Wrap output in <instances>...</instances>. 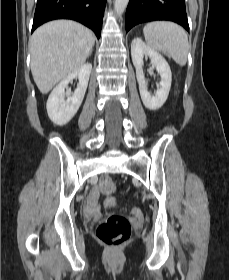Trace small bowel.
Masks as SVG:
<instances>
[{
	"instance_id": "obj_1",
	"label": "small bowel",
	"mask_w": 229,
	"mask_h": 280,
	"mask_svg": "<svg viewBox=\"0 0 229 280\" xmlns=\"http://www.w3.org/2000/svg\"><path fill=\"white\" fill-rule=\"evenodd\" d=\"M101 194L107 195L105 202H104V208H113L116 205L115 198L108 196V193L104 192L101 186L93 187L88 195L87 203L84 208V213L86 215H96L100 213V207L98 204V199Z\"/></svg>"
}]
</instances>
